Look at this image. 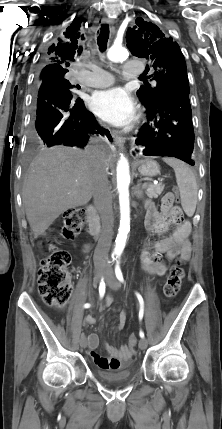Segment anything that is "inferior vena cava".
Returning <instances> with one entry per match:
<instances>
[{"instance_id":"inferior-vena-cava-1","label":"inferior vena cava","mask_w":222,"mask_h":429,"mask_svg":"<svg viewBox=\"0 0 222 429\" xmlns=\"http://www.w3.org/2000/svg\"><path fill=\"white\" fill-rule=\"evenodd\" d=\"M99 142V140H96ZM95 161L92 193L94 204L101 216L102 232L94 252V261L104 260L107 256L113 236L114 215L112 209V195L107 178V170L103 164L102 154L99 148L90 147L87 150Z\"/></svg>"}]
</instances>
